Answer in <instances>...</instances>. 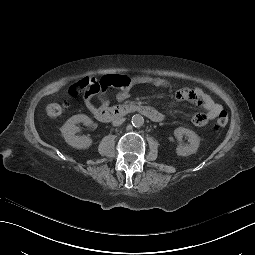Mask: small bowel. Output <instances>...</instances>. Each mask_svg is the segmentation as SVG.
Listing matches in <instances>:
<instances>
[{
    "instance_id": "c3829d8e",
    "label": "small bowel",
    "mask_w": 255,
    "mask_h": 255,
    "mask_svg": "<svg viewBox=\"0 0 255 255\" xmlns=\"http://www.w3.org/2000/svg\"><path fill=\"white\" fill-rule=\"evenodd\" d=\"M145 85L151 88L158 87H169L170 83L162 78L150 77V76H136L129 79V84L121 88L120 92L117 94L118 101H124L131 95V90L134 86ZM73 95V94H72ZM96 95L102 104H107V99L104 95V91H99L96 93H85L83 101L85 106L92 110L94 108L92 99ZM175 100H187L194 104H197L204 108L205 112L196 113L191 117V122L198 127L206 125L209 121L213 120L220 111H222V106L216 103L212 97L205 93L201 88H183L178 90L174 95Z\"/></svg>"
}]
</instances>
